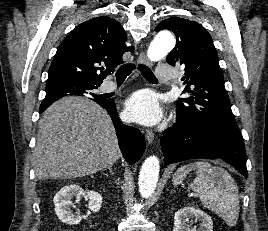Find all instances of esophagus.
I'll return each instance as SVG.
<instances>
[{"label":"esophagus","mask_w":268,"mask_h":231,"mask_svg":"<svg viewBox=\"0 0 268 231\" xmlns=\"http://www.w3.org/2000/svg\"><path fill=\"white\" fill-rule=\"evenodd\" d=\"M138 63L143 64V65H147V66L151 65V62L149 61V59L147 58V56L144 52H141V54L139 55ZM145 136H146V140H147L148 144H152L154 141V133L151 130H147Z\"/></svg>","instance_id":"1"}]
</instances>
